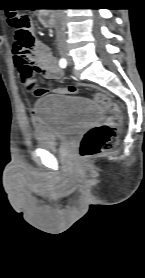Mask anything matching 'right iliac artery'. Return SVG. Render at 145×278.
<instances>
[{"label":"right iliac artery","instance_id":"82829eb1","mask_svg":"<svg viewBox=\"0 0 145 278\" xmlns=\"http://www.w3.org/2000/svg\"><path fill=\"white\" fill-rule=\"evenodd\" d=\"M59 64H60V66H61L62 68H65L66 65H67V62H66L65 59L62 58V59L60 60Z\"/></svg>","mask_w":145,"mask_h":278}]
</instances>
